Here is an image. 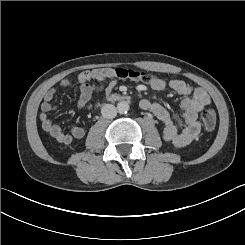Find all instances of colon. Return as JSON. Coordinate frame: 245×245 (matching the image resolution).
I'll list each match as a JSON object with an SVG mask.
<instances>
[{"label":"colon","mask_w":245,"mask_h":245,"mask_svg":"<svg viewBox=\"0 0 245 245\" xmlns=\"http://www.w3.org/2000/svg\"><path fill=\"white\" fill-rule=\"evenodd\" d=\"M113 74L118 79H128L133 81H139L144 83L151 82L154 78L152 75L139 70L116 68L113 69ZM201 124L204 130L212 131L216 126V114L214 110L207 109L202 112Z\"/></svg>","instance_id":"colon-1"}]
</instances>
